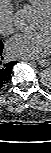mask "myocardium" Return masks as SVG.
Listing matches in <instances>:
<instances>
[{"label": "myocardium", "instance_id": "obj_1", "mask_svg": "<svg viewBox=\"0 0 51 153\" xmlns=\"http://www.w3.org/2000/svg\"><path fill=\"white\" fill-rule=\"evenodd\" d=\"M41 15L51 18V6L41 11Z\"/></svg>", "mask_w": 51, "mask_h": 153}]
</instances>
